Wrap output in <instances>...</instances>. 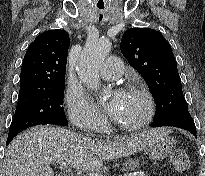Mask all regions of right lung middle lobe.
Returning <instances> with one entry per match:
<instances>
[{
  "mask_svg": "<svg viewBox=\"0 0 205 176\" xmlns=\"http://www.w3.org/2000/svg\"><path fill=\"white\" fill-rule=\"evenodd\" d=\"M64 85L65 83L19 95L7 141L32 126L40 124L67 126L64 109L61 107Z\"/></svg>",
  "mask_w": 205,
  "mask_h": 176,
  "instance_id": "1",
  "label": "right lung middle lobe"
}]
</instances>
